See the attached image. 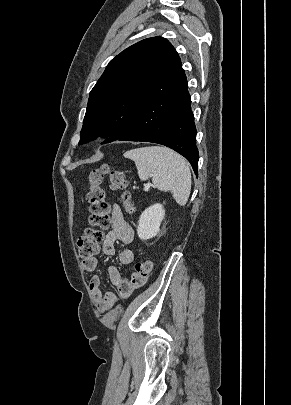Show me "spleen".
<instances>
[{
    "instance_id": "1",
    "label": "spleen",
    "mask_w": 291,
    "mask_h": 405,
    "mask_svg": "<svg viewBox=\"0 0 291 405\" xmlns=\"http://www.w3.org/2000/svg\"><path fill=\"white\" fill-rule=\"evenodd\" d=\"M124 157L135 162L142 181L152 176L154 187L170 191L180 206L187 203L191 190V173L182 156L166 147L149 146L129 150Z\"/></svg>"
}]
</instances>
